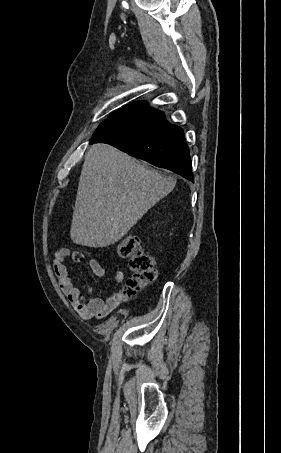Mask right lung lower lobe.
<instances>
[{"label": "right lung lower lobe", "instance_id": "obj_1", "mask_svg": "<svg viewBox=\"0 0 281 453\" xmlns=\"http://www.w3.org/2000/svg\"><path fill=\"white\" fill-rule=\"evenodd\" d=\"M98 142L194 181L183 130L145 101L131 103L103 121L90 144Z\"/></svg>", "mask_w": 281, "mask_h": 453}]
</instances>
